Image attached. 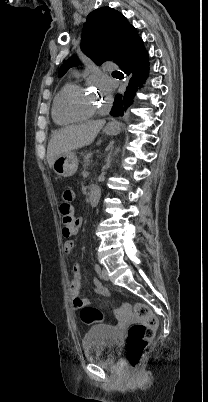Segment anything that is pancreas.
Here are the masks:
<instances>
[{
    "label": "pancreas",
    "instance_id": "pancreas-1",
    "mask_svg": "<svg viewBox=\"0 0 208 402\" xmlns=\"http://www.w3.org/2000/svg\"><path fill=\"white\" fill-rule=\"evenodd\" d=\"M91 156L92 154H87V156H84V162H83L84 170L88 168Z\"/></svg>",
    "mask_w": 208,
    "mask_h": 402
}]
</instances>
